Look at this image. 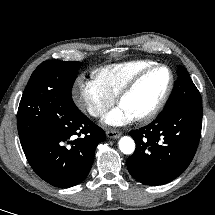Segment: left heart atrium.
I'll use <instances>...</instances> for the list:
<instances>
[{"label": "left heart atrium", "mask_w": 215, "mask_h": 215, "mask_svg": "<svg viewBox=\"0 0 215 215\" xmlns=\"http://www.w3.org/2000/svg\"><path fill=\"white\" fill-rule=\"evenodd\" d=\"M132 119L130 113L122 106L111 110L103 119L104 124L108 126H121Z\"/></svg>", "instance_id": "39dd6f15"}]
</instances>
